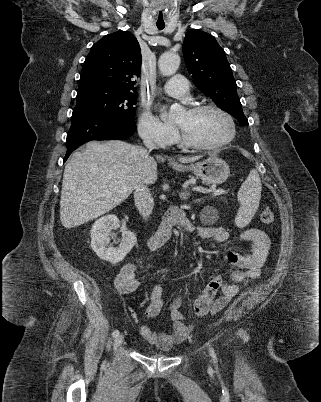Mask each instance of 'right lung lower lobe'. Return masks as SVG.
Returning a JSON list of instances; mask_svg holds the SVG:
<instances>
[{
	"mask_svg": "<svg viewBox=\"0 0 321 402\" xmlns=\"http://www.w3.org/2000/svg\"><path fill=\"white\" fill-rule=\"evenodd\" d=\"M135 120L80 117L72 119L67 134V152L64 162L70 154L83 143L90 140L125 139L134 134Z\"/></svg>",
	"mask_w": 321,
	"mask_h": 402,
	"instance_id": "98d812e1",
	"label": "right lung lower lobe"
}]
</instances>
